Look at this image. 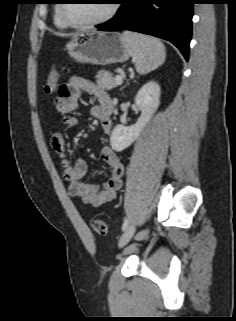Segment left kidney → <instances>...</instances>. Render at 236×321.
Segmentation results:
<instances>
[{
  "label": "left kidney",
  "instance_id": "obj_1",
  "mask_svg": "<svg viewBox=\"0 0 236 321\" xmlns=\"http://www.w3.org/2000/svg\"><path fill=\"white\" fill-rule=\"evenodd\" d=\"M160 86L151 81L145 84L135 97V104L141 115L134 125L125 127L117 125L111 134L110 143L113 150L120 152L129 147L140 135L160 104Z\"/></svg>",
  "mask_w": 236,
  "mask_h": 321
}]
</instances>
